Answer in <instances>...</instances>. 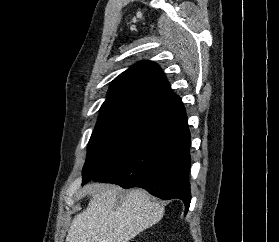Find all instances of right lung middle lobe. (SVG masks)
Instances as JSON below:
<instances>
[{"label":"right lung middle lobe","mask_w":279,"mask_h":242,"mask_svg":"<svg viewBox=\"0 0 279 242\" xmlns=\"http://www.w3.org/2000/svg\"><path fill=\"white\" fill-rule=\"evenodd\" d=\"M160 120V116L142 112L101 114L89 140L83 179L98 177L139 147Z\"/></svg>","instance_id":"obj_1"}]
</instances>
